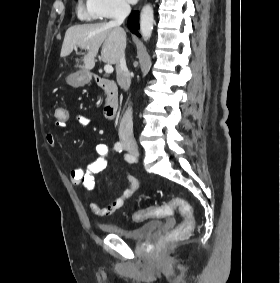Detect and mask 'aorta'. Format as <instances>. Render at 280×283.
Masks as SVG:
<instances>
[{"instance_id":"762f6f07","label":"aorta","mask_w":280,"mask_h":283,"mask_svg":"<svg viewBox=\"0 0 280 283\" xmlns=\"http://www.w3.org/2000/svg\"><path fill=\"white\" fill-rule=\"evenodd\" d=\"M154 25V11L150 4L143 7L140 15V30L142 38L147 41L150 39Z\"/></svg>"}]
</instances>
